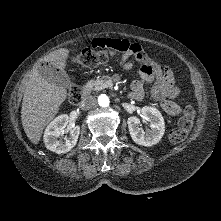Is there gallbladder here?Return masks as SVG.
<instances>
[{
  "label": "gallbladder",
  "mask_w": 221,
  "mask_h": 221,
  "mask_svg": "<svg viewBox=\"0 0 221 221\" xmlns=\"http://www.w3.org/2000/svg\"><path fill=\"white\" fill-rule=\"evenodd\" d=\"M39 73L45 80L49 82L61 85L65 88L71 87L70 78L62 69L47 68L42 66Z\"/></svg>",
  "instance_id": "1"
}]
</instances>
